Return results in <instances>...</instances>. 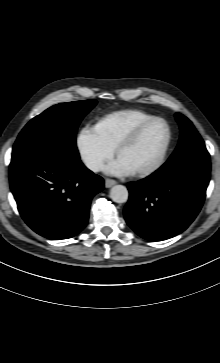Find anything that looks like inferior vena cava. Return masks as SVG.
<instances>
[{
  "label": "inferior vena cava",
  "mask_w": 220,
  "mask_h": 363,
  "mask_svg": "<svg viewBox=\"0 0 220 363\" xmlns=\"http://www.w3.org/2000/svg\"><path fill=\"white\" fill-rule=\"evenodd\" d=\"M87 167L94 171V172H97V171H100L103 167V163L100 162V161H97V160H93V161H89L87 162Z\"/></svg>",
  "instance_id": "inferior-vena-cava-1"
}]
</instances>
